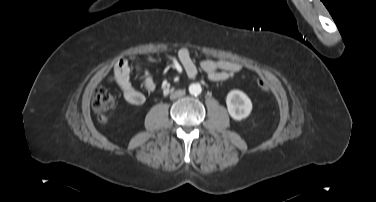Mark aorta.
<instances>
[{"label":"aorta","instance_id":"762f6f07","mask_svg":"<svg viewBox=\"0 0 376 202\" xmlns=\"http://www.w3.org/2000/svg\"><path fill=\"white\" fill-rule=\"evenodd\" d=\"M202 91V88H201V85L199 83H192L190 86H189V92L190 94L194 95V96H197L201 93Z\"/></svg>","mask_w":376,"mask_h":202}]
</instances>
